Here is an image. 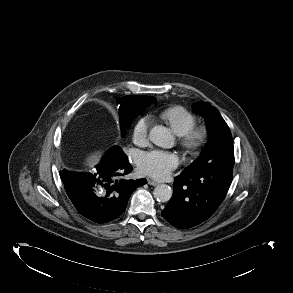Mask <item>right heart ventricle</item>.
Returning <instances> with one entry per match:
<instances>
[{"mask_svg":"<svg viewBox=\"0 0 293 293\" xmlns=\"http://www.w3.org/2000/svg\"><path fill=\"white\" fill-rule=\"evenodd\" d=\"M160 116L179 136L186 134L196 125V117L182 106L166 108Z\"/></svg>","mask_w":293,"mask_h":293,"instance_id":"obj_1","label":"right heart ventricle"}]
</instances>
